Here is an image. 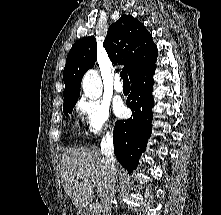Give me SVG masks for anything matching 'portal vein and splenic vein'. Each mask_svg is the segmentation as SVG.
Returning <instances> with one entry per match:
<instances>
[{"label":"portal vein and splenic vein","instance_id":"obj_1","mask_svg":"<svg viewBox=\"0 0 221 215\" xmlns=\"http://www.w3.org/2000/svg\"><path fill=\"white\" fill-rule=\"evenodd\" d=\"M100 208V204H94L93 206H92V210H97V209H99Z\"/></svg>","mask_w":221,"mask_h":215}]
</instances>
